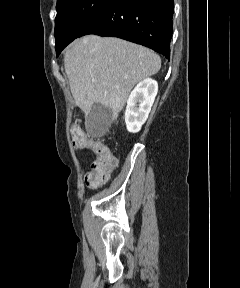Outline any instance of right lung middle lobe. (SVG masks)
I'll return each mask as SVG.
<instances>
[{
  "label": "right lung middle lobe",
  "instance_id": "dd1d6c3e",
  "mask_svg": "<svg viewBox=\"0 0 240 288\" xmlns=\"http://www.w3.org/2000/svg\"><path fill=\"white\" fill-rule=\"evenodd\" d=\"M113 0H58L55 18V49L57 56L74 39L80 36Z\"/></svg>",
  "mask_w": 240,
  "mask_h": 288
}]
</instances>
